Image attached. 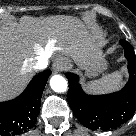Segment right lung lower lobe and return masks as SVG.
<instances>
[{
    "mask_svg": "<svg viewBox=\"0 0 136 136\" xmlns=\"http://www.w3.org/2000/svg\"><path fill=\"white\" fill-rule=\"evenodd\" d=\"M51 71L35 76L14 100L0 103V136H17L31 129L40 110V99Z\"/></svg>",
    "mask_w": 136,
    "mask_h": 136,
    "instance_id": "98d812e1",
    "label": "right lung lower lobe"
}]
</instances>
